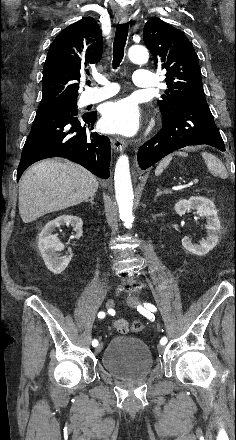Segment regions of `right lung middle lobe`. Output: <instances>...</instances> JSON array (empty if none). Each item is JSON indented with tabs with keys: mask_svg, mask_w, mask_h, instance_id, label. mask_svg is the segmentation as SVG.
<instances>
[{
	"mask_svg": "<svg viewBox=\"0 0 236 440\" xmlns=\"http://www.w3.org/2000/svg\"><path fill=\"white\" fill-rule=\"evenodd\" d=\"M57 107H63V108H70L73 110H77V102H69V103H64V104H59L56 105Z\"/></svg>",
	"mask_w": 236,
	"mask_h": 440,
	"instance_id": "obj_1",
	"label": "right lung middle lobe"
}]
</instances>
